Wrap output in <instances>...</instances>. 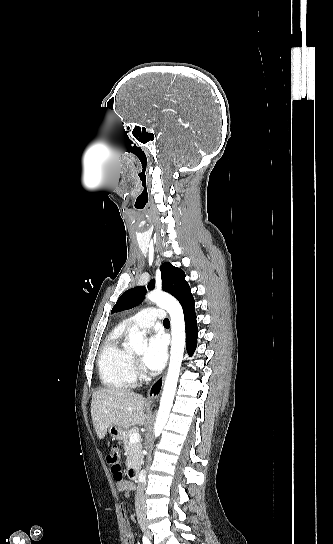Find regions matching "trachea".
Masks as SVG:
<instances>
[{"label":"trachea","mask_w":333,"mask_h":544,"mask_svg":"<svg viewBox=\"0 0 333 544\" xmlns=\"http://www.w3.org/2000/svg\"><path fill=\"white\" fill-rule=\"evenodd\" d=\"M163 324H164V325H169V324H170V321H169V319H167V318H166V319H164V321H163Z\"/></svg>","instance_id":"trachea-1"}]
</instances>
